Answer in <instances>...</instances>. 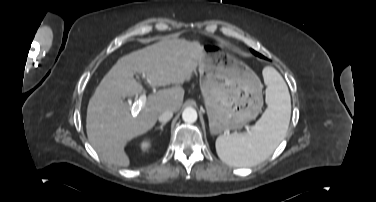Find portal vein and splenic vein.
I'll return each mask as SVG.
<instances>
[{"label": "portal vein and splenic vein", "mask_w": 376, "mask_h": 202, "mask_svg": "<svg viewBox=\"0 0 376 202\" xmlns=\"http://www.w3.org/2000/svg\"><path fill=\"white\" fill-rule=\"evenodd\" d=\"M145 104H146V95L142 94L140 95L138 99L135 100L132 107L133 109L138 110Z\"/></svg>", "instance_id": "1"}]
</instances>
